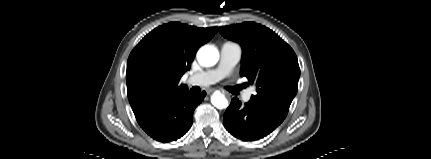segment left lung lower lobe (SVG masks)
<instances>
[{
  "instance_id": "obj_1",
  "label": "left lung lower lobe",
  "mask_w": 431,
  "mask_h": 159,
  "mask_svg": "<svg viewBox=\"0 0 431 159\" xmlns=\"http://www.w3.org/2000/svg\"><path fill=\"white\" fill-rule=\"evenodd\" d=\"M288 111L274 104L250 99L244 106L235 97L223 116L226 130L243 141H254L270 134Z\"/></svg>"
}]
</instances>
